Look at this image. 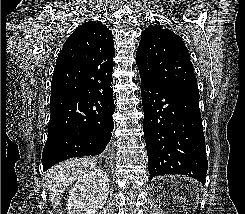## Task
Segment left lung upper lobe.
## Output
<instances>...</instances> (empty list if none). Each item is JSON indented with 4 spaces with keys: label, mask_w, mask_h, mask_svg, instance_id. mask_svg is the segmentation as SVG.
I'll list each match as a JSON object with an SVG mask.
<instances>
[{
    "label": "left lung upper lobe",
    "mask_w": 245,
    "mask_h": 214,
    "mask_svg": "<svg viewBox=\"0 0 245 214\" xmlns=\"http://www.w3.org/2000/svg\"><path fill=\"white\" fill-rule=\"evenodd\" d=\"M136 64L140 75L146 79L167 86L198 89L184 42L161 25H150L142 32Z\"/></svg>",
    "instance_id": "left-lung-upper-lobe-1"
}]
</instances>
